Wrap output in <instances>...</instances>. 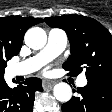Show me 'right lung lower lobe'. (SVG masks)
<instances>
[{"label":"right lung lower lobe","instance_id":"98d812e1","mask_svg":"<svg viewBox=\"0 0 112 112\" xmlns=\"http://www.w3.org/2000/svg\"><path fill=\"white\" fill-rule=\"evenodd\" d=\"M23 84L12 89L0 81V112H32L35 93L43 91L42 80L28 78Z\"/></svg>","mask_w":112,"mask_h":112}]
</instances>
